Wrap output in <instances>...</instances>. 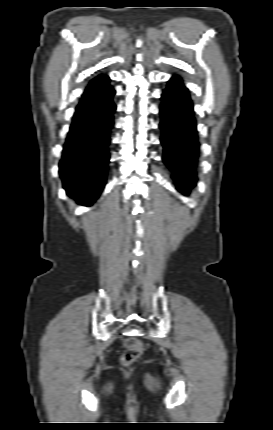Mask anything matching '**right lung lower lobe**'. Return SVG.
I'll list each match as a JSON object with an SVG mask.
<instances>
[{
	"label": "right lung lower lobe",
	"mask_w": 273,
	"mask_h": 430,
	"mask_svg": "<svg viewBox=\"0 0 273 430\" xmlns=\"http://www.w3.org/2000/svg\"><path fill=\"white\" fill-rule=\"evenodd\" d=\"M109 77L93 79L86 88L63 146L59 174L67 195L92 205L107 179L110 133L116 106Z\"/></svg>",
	"instance_id": "1"
}]
</instances>
